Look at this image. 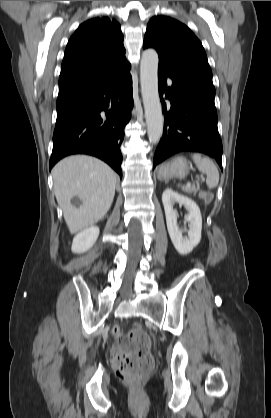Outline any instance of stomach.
<instances>
[{
	"instance_id": "1",
	"label": "stomach",
	"mask_w": 271,
	"mask_h": 418,
	"mask_svg": "<svg viewBox=\"0 0 271 418\" xmlns=\"http://www.w3.org/2000/svg\"><path fill=\"white\" fill-rule=\"evenodd\" d=\"M190 169L191 164L185 158L177 157L160 166L158 177L163 180H169L173 177L182 179L188 174Z\"/></svg>"
}]
</instances>
